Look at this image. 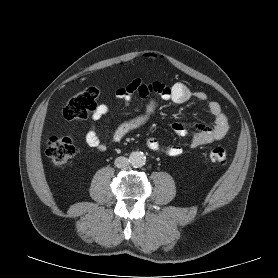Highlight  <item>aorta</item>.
Masks as SVG:
<instances>
[{"label": "aorta", "mask_w": 278, "mask_h": 278, "mask_svg": "<svg viewBox=\"0 0 278 278\" xmlns=\"http://www.w3.org/2000/svg\"><path fill=\"white\" fill-rule=\"evenodd\" d=\"M129 161L134 167H142L146 163V156L141 151H135L130 154Z\"/></svg>", "instance_id": "1"}]
</instances>
